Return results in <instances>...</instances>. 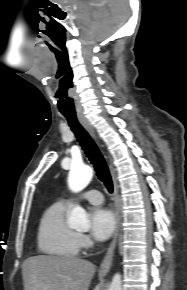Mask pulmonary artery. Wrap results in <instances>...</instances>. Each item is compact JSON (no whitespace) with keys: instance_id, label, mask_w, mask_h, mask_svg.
Here are the masks:
<instances>
[{"instance_id":"e3ab8cb5","label":"pulmonary artery","mask_w":187,"mask_h":290,"mask_svg":"<svg viewBox=\"0 0 187 290\" xmlns=\"http://www.w3.org/2000/svg\"><path fill=\"white\" fill-rule=\"evenodd\" d=\"M83 198L89 203L98 205L103 202V195L96 190L88 191L83 195Z\"/></svg>"}]
</instances>
